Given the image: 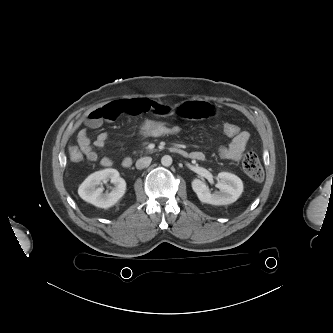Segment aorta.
<instances>
[{"mask_svg":"<svg viewBox=\"0 0 333 333\" xmlns=\"http://www.w3.org/2000/svg\"><path fill=\"white\" fill-rule=\"evenodd\" d=\"M161 163L165 167H169L172 164V157L169 155H164L161 159Z\"/></svg>","mask_w":333,"mask_h":333,"instance_id":"obj_1","label":"aorta"}]
</instances>
